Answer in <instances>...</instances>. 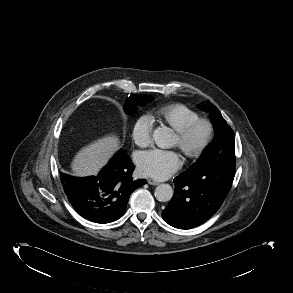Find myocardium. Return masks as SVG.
Listing matches in <instances>:
<instances>
[{"instance_id":"obj_1","label":"myocardium","mask_w":293,"mask_h":293,"mask_svg":"<svg viewBox=\"0 0 293 293\" xmlns=\"http://www.w3.org/2000/svg\"><path fill=\"white\" fill-rule=\"evenodd\" d=\"M200 128L205 130V135L199 144L193 146L191 145L192 137ZM213 137L214 126L212 122L205 118H198L177 132L178 147L188 158H197L209 147Z\"/></svg>"}]
</instances>
